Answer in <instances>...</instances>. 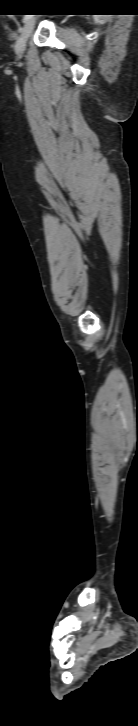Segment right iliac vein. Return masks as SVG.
Segmentation results:
<instances>
[{"instance_id":"63e3f726","label":"right iliac vein","mask_w":138,"mask_h":726,"mask_svg":"<svg viewBox=\"0 0 138 726\" xmlns=\"http://www.w3.org/2000/svg\"><path fill=\"white\" fill-rule=\"evenodd\" d=\"M35 27V18H30L26 21L25 25L22 28L21 34L19 39L16 42L15 50L16 53L20 56L24 53L26 42L28 38L30 37L33 29Z\"/></svg>"}]
</instances>
